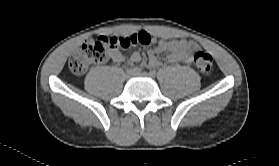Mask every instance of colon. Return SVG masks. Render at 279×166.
<instances>
[{"mask_svg":"<svg viewBox=\"0 0 279 166\" xmlns=\"http://www.w3.org/2000/svg\"><path fill=\"white\" fill-rule=\"evenodd\" d=\"M147 42L148 38L144 35L139 38L128 36L91 38L71 56L68 65L74 74L81 75L92 65L105 62L111 49L127 48L132 44ZM194 64L201 73L210 74L213 69V58L207 52L198 51L194 55Z\"/></svg>","mask_w":279,"mask_h":166,"instance_id":"5ec220e1","label":"colon"}]
</instances>
